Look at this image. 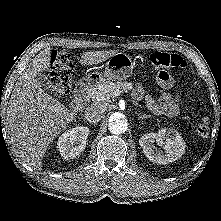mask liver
<instances>
[{"label": "liver", "instance_id": "1", "mask_svg": "<svg viewBox=\"0 0 221 221\" xmlns=\"http://www.w3.org/2000/svg\"><path fill=\"white\" fill-rule=\"evenodd\" d=\"M116 54L115 50L85 52L82 65H96ZM51 49L41 51L20 74L10 97L7 113V137L13 151L30 167L40 168L48 145L66 129L77 111L68 110L42 89L37 76L48 71Z\"/></svg>", "mask_w": 221, "mask_h": 221}]
</instances>
